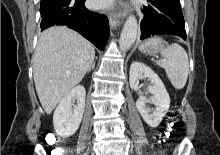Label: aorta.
Here are the masks:
<instances>
[{
	"label": "aorta",
	"instance_id": "obj_1",
	"mask_svg": "<svg viewBox=\"0 0 220 155\" xmlns=\"http://www.w3.org/2000/svg\"><path fill=\"white\" fill-rule=\"evenodd\" d=\"M138 23L134 16H129L126 20L119 40L121 51L125 52L131 48L137 38Z\"/></svg>",
	"mask_w": 220,
	"mask_h": 155
}]
</instances>
